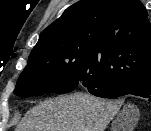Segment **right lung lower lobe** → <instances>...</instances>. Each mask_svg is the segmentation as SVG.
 <instances>
[{"mask_svg": "<svg viewBox=\"0 0 151 131\" xmlns=\"http://www.w3.org/2000/svg\"><path fill=\"white\" fill-rule=\"evenodd\" d=\"M78 87H84L88 92L98 97L114 99L131 94L144 97L151 102V79L134 82L101 81L91 83L90 81H81Z\"/></svg>", "mask_w": 151, "mask_h": 131, "instance_id": "obj_1", "label": "right lung lower lobe"}]
</instances>
